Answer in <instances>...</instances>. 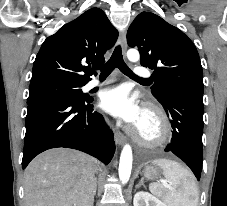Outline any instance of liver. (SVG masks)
<instances>
[{
    "label": "liver",
    "mask_w": 227,
    "mask_h": 206,
    "mask_svg": "<svg viewBox=\"0 0 227 206\" xmlns=\"http://www.w3.org/2000/svg\"><path fill=\"white\" fill-rule=\"evenodd\" d=\"M95 160L57 148L34 158L24 173L25 206H92Z\"/></svg>",
    "instance_id": "1"
}]
</instances>
